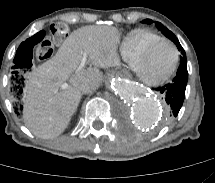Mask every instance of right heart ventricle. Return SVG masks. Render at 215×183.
Instances as JSON below:
<instances>
[{
	"label": "right heart ventricle",
	"instance_id": "e07e8e85",
	"mask_svg": "<svg viewBox=\"0 0 215 183\" xmlns=\"http://www.w3.org/2000/svg\"><path fill=\"white\" fill-rule=\"evenodd\" d=\"M161 39V36L142 29L129 32L120 45V53L123 59L131 67L139 54L152 42Z\"/></svg>",
	"mask_w": 215,
	"mask_h": 183
}]
</instances>
